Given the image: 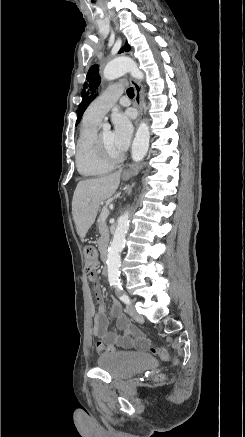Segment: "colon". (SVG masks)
<instances>
[{
  "instance_id": "5ec220e1",
  "label": "colon",
  "mask_w": 245,
  "mask_h": 437,
  "mask_svg": "<svg viewBox=\"0 0 245 437\" xmlns=\"http://www.w3.org/2000/svg\"><path fill=\"white\" fill-rule=\"evenodd\" d=\"M85 270L93 274L98 268L97 252L94 247L88 246L84 250ZM97 349L99 352H112L115 348L113 345H104L101 341L97 342ZM149 352L163 360L169 358V352L164 346L150 347Z\"/></svg>"
}]
</instances>
